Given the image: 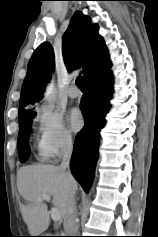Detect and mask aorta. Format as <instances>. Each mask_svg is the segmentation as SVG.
I'll use <instances>...</instances> for the list:
<instances>
[{
    "instance_id": "1",
    "label": "aorta",
    "mask_w": 158,
    "mask_h": 237,
    "mask_svg": "<svg viewBox=\"0 0 158 237\" xmlns=\"http://www.w3.org/2000/svg\"><path fill=\"white\" fill-rule=\"evenodd\" d=\"M44 99L51 105L55 103L56 100V88L53 82H50L45 90Z\"/></svg>"
}]
</instances>
